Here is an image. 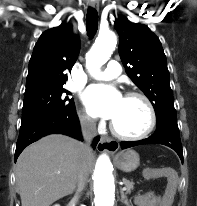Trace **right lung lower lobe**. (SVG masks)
<instances>
[{
    "mask_svg": "<svg viewBox=\"0 0 197 206\" xmlns=\"http://www.w3.org/2000/svg\"><path fill=\"white\" fill-rule=\"evenodd\" d=\"M60 133L76 139H82L79 120L76 110L45 115L28 122L21 123L19 138L16 144L15 160L29 144L48 134ZM96 137L93 141V148L99 141Z\"/></svg>",
    "mask_w": 197,
    "mask_h": 206,
    "instance_id": "1",
    "label": "right lung lower lobe"
}]
</instances>
